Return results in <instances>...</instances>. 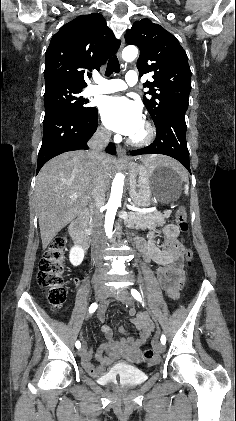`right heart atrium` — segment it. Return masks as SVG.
<instances>
[{"label": "right heart atrium", "instance_id": "d8ad5b80", "mask_svg": "<svg viewBox=\"0 0 236 421\" xmlns=\"http://www.w3.org/2000/svg\"><path fill=\"white\" fill-rule=\"evenodd\" d=\"M98 133L102 136H108L109 135V131L107 129V127L104 124H101L98 128Z\"/></svg>", "mask_w": 236, "mask_h": 421}]
</instances>
